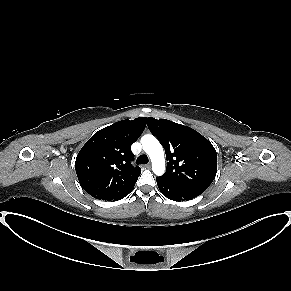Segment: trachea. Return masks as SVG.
<instances>
[{
	"instance_id": "3493384b",
	"label": "trachea",
	"mask_w": 291,
	"mask_h": 291,
	"mask_svg": "<svg viewBox=\"0 0 291 291\" xmlns=\"http://www.w3.org/2000/svg\"><path fill=\"white\" fill-rule=\"evenodd\" d=\"M137 164H147L149 162V159L147 157V155H140L137 160H136Z\"/></svg>"
}]
</instances>
